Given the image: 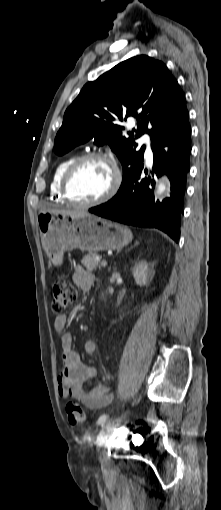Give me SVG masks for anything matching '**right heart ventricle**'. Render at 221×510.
<instances>
[{"label":"right heart ventricle","mask_w":221,"mask_h":510,"mask_svg":"<svg viewBox=\"0 0 221 510\" xmlns=\"http://www.w3.org/2000/svg\"><path fill=\"white\" fill-rule=\"evenodd\" d=\"M75 156H68L61 160L55 167L51 183H50V198L57 203H65L66 200L61 194L60 185L64 172L68 166L74 161Z\"/></svg>","instance_id":"1"}]
</instances>
